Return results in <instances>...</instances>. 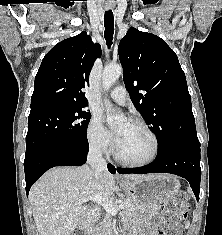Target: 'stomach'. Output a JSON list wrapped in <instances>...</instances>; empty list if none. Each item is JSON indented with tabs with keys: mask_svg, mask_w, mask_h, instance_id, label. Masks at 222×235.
<instances>
[{
	"mask_svg": "<svg viewBox=\"0 0 222 235\" xmlns=\"http://www.w3.org/2000/svg\"><path fill=\"white\" fill-rule=\"evenodd\" d=\"M128 200L138 208H150L174 196L180 183L171 175H156L140 181L122 184Z\"/></svg>",
	"mask_w": 222,
	"mask_h": 235,
	"instance_id": "stomach-1",
	"label": "stomach"
}]
</instances>
